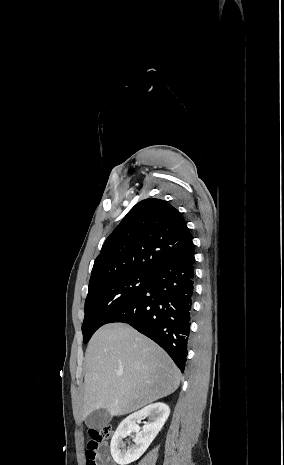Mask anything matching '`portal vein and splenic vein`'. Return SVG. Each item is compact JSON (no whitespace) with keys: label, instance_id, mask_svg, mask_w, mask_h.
Wrapping results in <instances>:
<instances>
[{"label":"portal vein and splenic vein","instance_id":"18ae733b","mask_svg":"<svg viewBox=\"0 0 284 465\" xmlns=\"http://www.w3.org/2000/svg\"><path fill=\"white\" fill-rule=\"evenodd\" d=\"M118 377H122V375H118Z\"/></svg>","mask_w":284,"mask_h":465}]
</instances>
